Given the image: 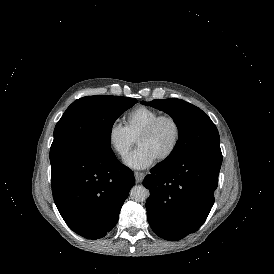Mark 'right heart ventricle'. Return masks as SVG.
Returning a JSON list of instances; mask_svg holds the SVG:
<instances>
[{
	"instance_id": "right-heart-ventricle-1",
	"label": "right heart ventricle",
	"mask_w": 274,
	"mask_h": 274,
	"mask_svg": "<svg viewBox=\"0 0 274 274\" xmlns=\"http://www.w3.org/2000/svg\"><path fill=\"white\" fill-rule=\"evenodd\" d=\"M160 112L155 109L141 107L124 117V128L132 139L149 125Z\"/></svg>"
}]
</instances>
